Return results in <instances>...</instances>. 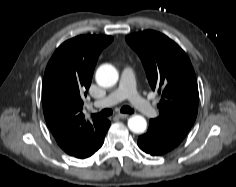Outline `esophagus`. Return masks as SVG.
<instances>
[{
	"mask_svg": "<svg viewBox=\"0 0 236 187\" xmlns=\"http://www.w3.org/2000/svg\"><path fill=\"white\" fill-rule=\"evenodd\" d=\"M115 117H117V118H121V119H124V118H128L129 115H128V114H122V113H119V114H117Z\"/></svg>",
	"mask_w": 236,
	"mask_h": 187,
	"instance_id": "34e87169",
	"label": "esophagus"
}]
</instances>
